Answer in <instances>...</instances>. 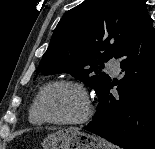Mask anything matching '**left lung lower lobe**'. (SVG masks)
<instances>
[{"label": "left lung lower lobe", "instance_id": "1", "mask_svg": "<svg viewBox=\"0 0 155 149\" xmlns=\"http://www.w3.org/2000/svg\"><path fill=\"white\" fill-rule=\"evenodd\" d=\"M119 96L110 94L111 81L98 93L93 120L84 127L125 149H155V29L148 16L119 50Z\"/></svg>", "mask_w": 155, "mask_h": 149}]
</instances>
